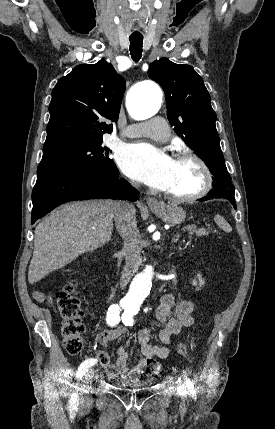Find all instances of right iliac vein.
Masks as SVG:
<instances>
[{"label": "right iliac vein", "instance_id": "obj_1", "mask_svg": "<svg viewBox=\"0 0 275 429\" xmlns=\"http://www.w3.org/2000/svg\"><path fill=\"white\" fill-rule=\"evenodd\" d=\"M93 374H94V372H93V370H92V369H89V370L87 371V373L85 374L84 379H83L84 387H87V385L91 382V379H92V377H93ZM81 399H82L83 401H88L89 397H88V396H86V395H84V396H82V397H81Z\"/></svg>", "mask_w": 275, "mask_h": 429}]
</instances>
